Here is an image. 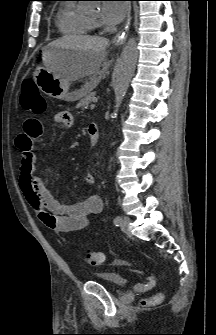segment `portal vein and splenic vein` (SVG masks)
Segmentation results:
<instances>
[{
  "label": "portal vein and splenic vein",
  "instance_id": "portal-vein-and-splenic-vein-1",
  "mask_svg": "<svg viewBox=\"0 0 216 335\" xmlns=\"http://www.w3.org/2000/svg\"><path fill=\"white\" fill-rule=\"evenodd\" d=\"M95 102H97V101H95ZM95 106H96L95 103H93V104L90 105V108H91V109H94Z\"/></svg>",
  "mask_w": 216,
  "mask_h": 335
}]
</instances>
